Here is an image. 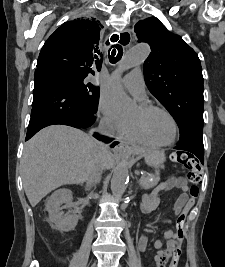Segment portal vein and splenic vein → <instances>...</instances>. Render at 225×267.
Here are the masks:
<instances>
[{
	"label": "portal vein and splenic vein",
	"mask_w": 225,
	"mask_h": 267,
	"mask_svg": "<svg viewBox=\"0 0 225 267\" xmlns=\"http://www.w3.org/2000/svg\"><path fill=\"white\" fill-rule=\"evenodd\" d=\"M143 180V177L140 179V182Z\"/></svg>",
	"instance_id": "obj_1"
}]
</instances>
